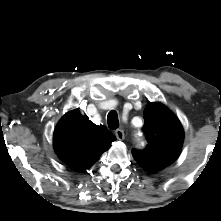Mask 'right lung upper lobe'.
I'll return each mask as SVG.
<instances>
[{
  "mask_svg": "<svg viewBox=\"0 0 221 221\" xmlns=\"http://www.w3.org/2000/svg\"><path fill=\"white\" fill-rule=\"evenodd\" d=\"M115 136L102 125L84 118L77 109L65 114L54 131V148L73 170L91 167L108 150Z\"/></svg>",
  "mask_w": 221,
  "mask_h": 221,
  "instance_id": "1",
  "label": "right lung upper lobe"
}]
</instances>
